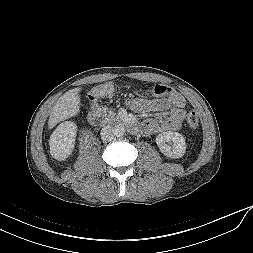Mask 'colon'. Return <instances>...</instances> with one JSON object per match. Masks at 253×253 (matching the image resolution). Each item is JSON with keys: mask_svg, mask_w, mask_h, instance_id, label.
I'll return each instance as SVG.
<instances>
[{"mask_svg": "<svg viewBox=\"0 0 253 253\" xmlns=\"http://www.w3.org/2000/svg\"><path fill=\"white\" fill-rule=\"evenodd\" d=\"M113 91V87L110 84H106L103 86H100L98 88L93 89L90 92V99L95 101L97 99H99L101 96L109 94ZM172 91V89L166 85L163 84H158L155 85L152 89L151 92L152 94H154L155 96H163V95H167ZM187 124L189 125L190 128L192 129H196L199 125V116L196 112L191 111L188 115H187Z\"/></svg>", "mask_w": 253, "mask_h": 253, "instance_id": "5ec220e1", "label": "colon"}]
</instances>
